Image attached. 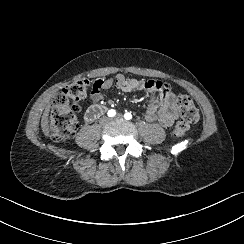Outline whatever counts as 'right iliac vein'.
Here are the masks:
<instances>
[{
	"mask_svg": "<svg viewBox=\"0 0 244 244\" xmlns=\"http://www.w3.org/2000/svg\"><path fill=\"white\" fill-rule=\"evenodd\" d=\"M102 122H103L104 124H108V123L110 122V118H109V117H104V118L102 119Z\"/></svg>",
	"mask_w": 244,
	"mask_h": 244,
	"instance_id": "obj_1",
	"label": "right iliac vein"
}]
</instances>
